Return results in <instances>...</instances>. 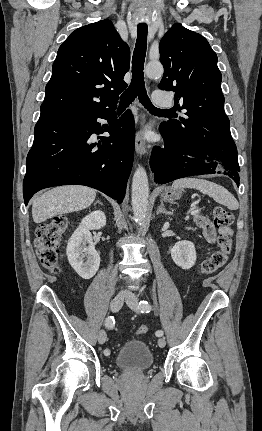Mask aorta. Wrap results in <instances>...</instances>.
<instances>
[{
    "instance_id": "762f6f07",
    "label": "aorta",
    "mask_w": 262,
    "mask_h": 431,
    "mask_svg": "<svg viewBox=\"0 0 262 431\" xmlns=\"http://www.w3.org/2000/svg\"><path fill=\"white\" fill-rule=\"evenodd\" d=\"M164 69L159 62H150L145 67V73L148 77H159L163 74ZM149 198V184L146 170L138 166L132 179V209L135 221L142 225L145 222Z\"/></svg>"
}]
</instances>
